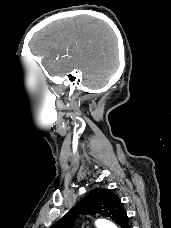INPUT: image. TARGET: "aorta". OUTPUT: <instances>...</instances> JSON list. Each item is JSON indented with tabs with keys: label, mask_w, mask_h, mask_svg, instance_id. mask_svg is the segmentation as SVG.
<instances>
[{
	"label": "aorta",
	"mask_w": 171,
	"mask_h": 228,
	"mask_svg": "<svg viewBox=\"0 0 171 228\" xmlns=\"http://www.w3.org/2000/svg\"><path fill=\"white\" fill-rule=\"evenodd\" d=\"M95 224L97 228H117L114 223L105 219H99Z\"/></svg>",
	"instance_id": "1"
}]
</instances>
